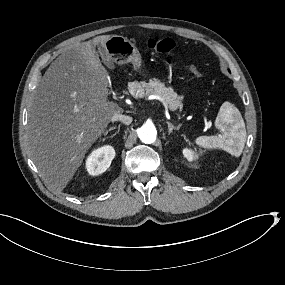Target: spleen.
Returning a JSON list of instances; mask_svg holds the SVG:
<instances>
[{
  "mask_svg": "<svg viewBox=\"0 0 285 285\" xmlns=\"http://www.w3.org/2000/svg\"><path fill=\"white\" fill-rule=\"evenodd\" d=\"M235 137L238 138L237 144L239 146V153L237 155L239 156L244 148V144L246 141L245 128H242L241 131L235 135ZM215 141V137L200 136L196 139V144L204 148H211Z\"/></svg>",
  "mask_w": 285,
  "mask_h": 285,
  "instance_id": "1",
  "label": "spleen"
}]
</instances>
